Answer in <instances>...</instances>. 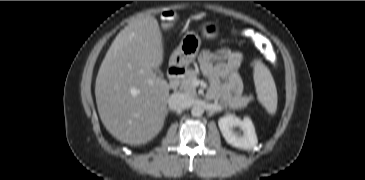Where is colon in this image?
<instances>
[{
    "instance_id": "1",
    "label": "colon",
    "mask_w": 365,
    "mask_h": 180,
    "mask_svg": "<svg viewBox=\"0 0 365 180\" xmlns=\"http://www.w3.org/2000/svg\"><path fill=\"white\" fill-rule=\"evenodd\" d=\"M164 17L167 19V20H173L175 18V13L172 12V11H169V12H165L164 13Z\"/></svg>"
}]
</instances>
